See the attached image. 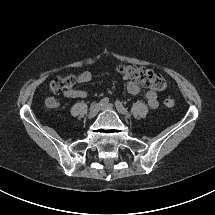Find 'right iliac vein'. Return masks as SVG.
<instances>
[{"mask_svg":"<svg viewBox=\"0 0 215 215\" xmlns=\"http://www.w3.org/2000/svg\"><path fill=\"white\" fill-rule=\"evenodd\" d=\"M100 110V105L98 103H94L91 105L89 109V118H94Z\"/></svg>","mask_w":215,"mask_h":215,"instance_id":"right-iliac-vein-1","label":"right iliac vein"}]
</instances>
